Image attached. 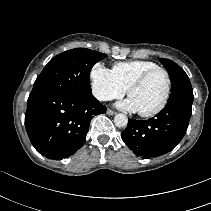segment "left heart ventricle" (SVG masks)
I'll return each mask as SVG.
<instances>
[{"label":"left heart ventricle","mask_w":211,"mask_h":211,"mask_svg":"<svg viewBox=\"0 0 211 211\" xmlns=\"http://www.w3.org/2000/svg\"><path fill=\"white\" fill-rule=\"evenodd\" d=\"M166 86L167 79L163 72L151 75L141 87L130 95L137 111L147 112L159 106L164 98Z\"/></svg>","instance_id":"b2bd125f"}]
</instances>
